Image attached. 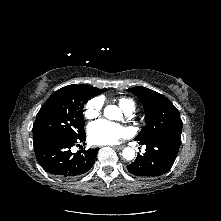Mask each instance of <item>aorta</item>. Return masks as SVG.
I'll use <instances>...</instances> for the list:
<instances>
[{
  "label": "aorta",
  "instance_id": "1",
  "mask_svg": "<svg viewBox=\"0 0 221 221\" xmlns=\"http://www.w3.org/2000/svg\"><path fill=\"white\" fill-rule=\"evenodd\" d=\"M116 107L114 105H109L105 108L104 110V114L106 117H108L110 111L114 110ZM122 156L124 159L126 160H132L135 157V150L131 147H126L123 151H122Z\"/></svg>",
  "mask_w": 221,
  "mask_h": 221
}]
</instances>
